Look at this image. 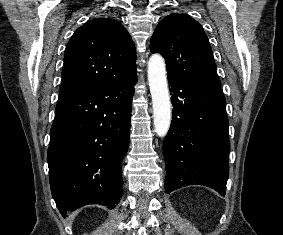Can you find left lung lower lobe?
<instances>
[{
	"instance_id": "obj_1",
	"label": "left lung lower lobe",
	"mask_w": 283,
	"mask_h": 235,
	"mask_svg": "<svg viewBox=\"0 0 283 235\" xmlns=\"http://www.w3.org/2000/svg\"><path fill=\"white\" fill-rule=\"evenodd\" d=\"M172 122L164 140L165 190L200 184L225 195L228 179V118L221 89L168 76Z\"/></svg>"
}]
</instances>
